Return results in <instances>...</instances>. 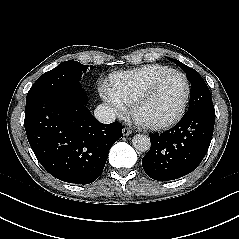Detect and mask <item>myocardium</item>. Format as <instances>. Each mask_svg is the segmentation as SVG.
Segmentation results:
<instances>
[{
  "label": "myocardium",
  "mask_w": 239,
  "mask_h": 239,
  "mask_svg": "<svg viewBox=\"0 0 239 239\" xmlns=\"http://www.w3.org/2000/svg\"><path fill=\"white\" fill-rule=\"evenodd\" d=\"M180 76L184 80L185 84V94L183 97V100L181 102V105L178 109V111L169 119L160 121V122H143L138 118V112L141 106L144 104V102L149 98V96L155 91V89L168 77L170 76ZM191 94V86L189 83V80L187 76L177 70H170L166 73H163L159 76H157L145 89H143L134 102L132 103V109H131V115L133 119L136 121V123L146 129L150 130H166L168 128L173 127L176 125L184 116L187 106L189 103Z\"/></svg>",
  "instance_id": "1"
}]
</instances>
